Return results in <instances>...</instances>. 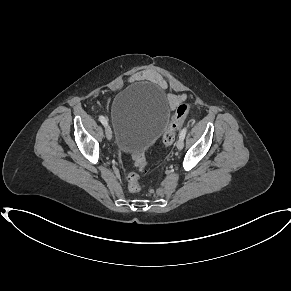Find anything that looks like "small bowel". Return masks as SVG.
Segmentation results:
<instances>
[{"mask_svg":"<svg viewBox=\"0 0 291 291\" xmlns=\"http://www.w3.org/2000/svg\"><path fill=\"white\" fill-rule=\"evenodd\" d=\"M129 82H136V81H149L160 88L166 89L167 82L162 77L161 74L154 70H140L132 74L129 79ZM186 96L184 94H168V103L171 109H175L180 103L185 100Z\"/></svg>","mask_w":291,"mask_h":291,"instance_id":"small-bowel-1","label":"small bowel"}]
</instances>
